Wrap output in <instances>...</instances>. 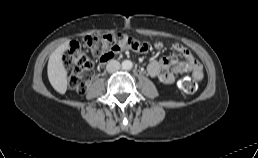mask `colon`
Wrapping results in <instances>:
<instances>
[{
    "mask_svg": "<svg viewBox=\"0 0 258 158\" xmlns=\"http://www.w3.org/2000/svg\"><path fill=\"white\" fill-rule=\"evenodd\" d=\"M138 44L137 39L123 34L88 35L82 45L71 43L62 57L68 68L70 87L83 94L93 79V64L88 57V51L102 61L114 57L123 49L135 48ZM179 87L183 92L193 94L198 89L197 79L184 77L180 80Z\"/></svg>",
    "mask_w": 258,
    "mask_h": 158,
    "instance_id": "obj_1",
    "label": "colon"
}]
</instances>
